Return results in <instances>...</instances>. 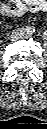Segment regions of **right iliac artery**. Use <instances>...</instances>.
Masks as SVG:
<instances>
[{
	"label": "right iliac artery",
	"mask_w": 47,
	"mask_h": 129,
	"mask_svg": "<svg viewBox=\"0 0 47 129\" xmlns=\"http://www.w3.org/2000/svg\"><path fill=\"white\" fill-rule=\"evenodd\" d=\"M25 30H26L27 33H30V34L35 32V28L34 27H26Z\"/></svg>",
	"instance_id": "obj_1"
}]
</instances>
